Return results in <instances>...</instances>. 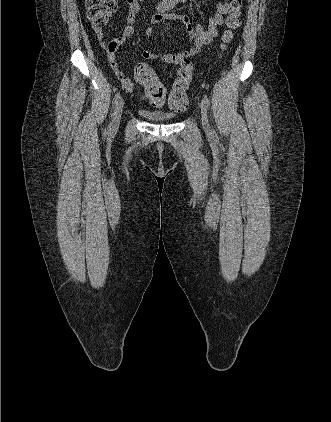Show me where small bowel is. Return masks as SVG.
<instances>
[{"mask_svg":"<svg viewBox=\"0 0 331 422\" xmlns=\"http://www.w3.org/2000/svg\"><path fill=\"white\" fill-rule=\"evenodd\" d=\"M189 0H178L177 3L185 4ZM216 1L214 14L211 15L208 19L207 27H204L201 24L192 25L190 18L187 15H176V14H167V11L171 9L168 4L161 0L157 5L155 13L152 15L150 22L152 25L158 24L163 20H176L179 19L184 25H186V31L189 41L193 44L190 48L179 51V52H166L155 54L149 49H144L142 51V56L145 59H160L162 62L170 65H181L185 60H190L192 57L200 53L202 48L206 45H209L213 39L218 34V28L222 25L224 16L229 10L228 1ZM128 5V14H127V25L121 34L115 36L111 40H107L101 27L93 25L94 34L99 41L101 47H103L107 53L108 61L119 80L121 86L127 92H135L139 89V86H143L136 78L135 81L127 77L119 68L116 61V55L118 49L126 42L127 38L134 33V24L141 10V4L144 0H126ZM176 3V4H177ZM108 26L111 27L112 23H108ZM153 29L151 26L146 27L145 36L149 39L152 36ZM154 105H161L162 101L152 102Z\"/></svg>","mask_w":331,"mask_h":422,"instance_id":"small-bowel-1","label":"small bowel"}]
</instances>
